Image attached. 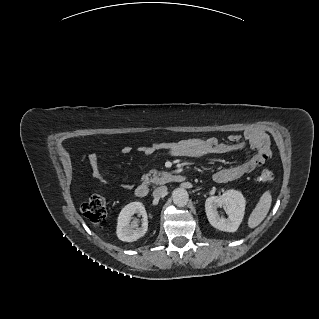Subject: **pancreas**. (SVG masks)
Segmentation results:
<instances>
[{
	"label": "pancreas",
	"instance_id": "pancreas-1",
	"mask_svg": "<svg viewBox=\"0 0 319 319\" xmlns=\"http://www.w3.org/2000/svg\"><path fill=\"white\" fill-rule=\"evenodd\" d=\"M168 174L157 170H150L144 177V181L155 185L163 184Z\"/></svg>",
	"mask_w": 319,
	"mask_h": 319
}]
</instances>
